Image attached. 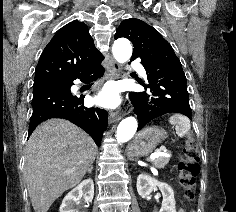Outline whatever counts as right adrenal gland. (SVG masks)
Returning <instances> with one entry per match:
<instances>
[{
	"label": "right adrenal gland",
	"instance_id": "right-adrenal-gland-1",
	"mask_svg": "<svg viewBox=\"0 0 236 212\" xmlns=\"http://www.w3.org/2000/svg\"><path fill=\"white\" fill-rule=\"evenodd\" d=\"M93 170V165L90 166V168L87 170V173L91 174Z\"/></svg>",
	"mask_w": 236,
	"mask_h": 212
}]
</instances>
